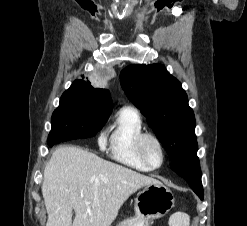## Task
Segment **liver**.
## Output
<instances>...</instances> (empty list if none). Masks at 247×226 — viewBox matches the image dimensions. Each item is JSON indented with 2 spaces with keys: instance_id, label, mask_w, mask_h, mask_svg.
Returning a JSON list of instances; mask_svg holds the SVG:
<instances>
[{
  "instance_id": "1",
  "label": "liver",
  "mask_w": 247,
  "mask_h": 226,
  "mask_svg": "<svg viewBox=\"0 0 247 226\" xmlns=\"http://www.w3.org/2000/svg\"><path fill=\"white\" fill-rule=\"evenodd\" d=\"M156 182L79 147H58L44 169L41 188L46 226H110L130 195Z\"/></svg>"
}]
</instances>
